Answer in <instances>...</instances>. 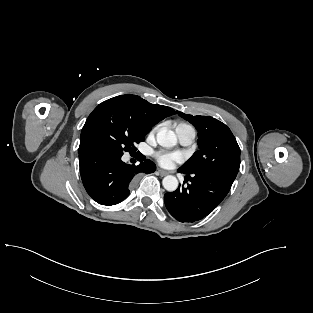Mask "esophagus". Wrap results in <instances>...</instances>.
<instances>
[{"instance_id":"34e87169","label":"esophagus","mask_w":313,"mask_h":313,"mask_svg":"<svg viewBox=\"0 0 313 313\" xmlns=\"http://www.w3.org/2000/svg\"><path fill=\"white\" fill-rule=\"evenodd\" d=\"M157 173L160 175V176H166L168 175V172L167 171H164L162 169H157Z\"/></svg>"}]
</instances>
